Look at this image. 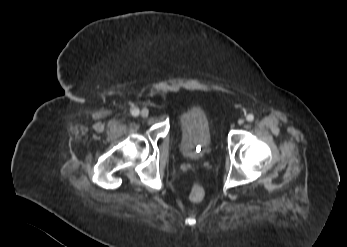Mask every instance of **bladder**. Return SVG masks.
<instances>
[{
  "instance_id": "1",
  "label": "bladder",
  "mask_w": 347,
  "mask_h": 247,
  "mask_svg": "<svg viewBox=\"0 0 347 247\" xmlns=\"http://www.w3.org/2000/svg\"><path fill=\"white\" fill-rule=\"evenodd\" d=\"M180 149L188 160L201 159L212 143L211 125L204 110L193 105L179 115Z\"/></svg>"
}]
</instances>
